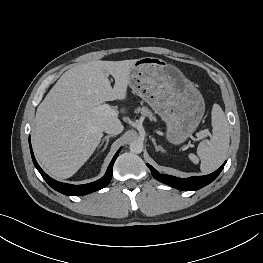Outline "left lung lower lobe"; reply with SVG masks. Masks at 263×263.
<instances>
[{"label":"left lung lower lobe","mask_w":263,"mask_h":263,"mask_svg":"<svg viewBox=\"0 0 263 263\" xmlns=\"http://www.w3.org/2000/svg\"><path fill=\"white\" fill-rule=\"evenodd\" d=\"M226 163V162H225ZM225 163L217 169L215 172L205 175V176H193L186 179L177 178L174 176L163 175L158 173L151 165L147 164L150 168L152 175L158 181L167 184L171 187L177 188L179 190L190 191V190H198L217 178L222 169L225 166Z\"/></svg>","instance_id":"left-lung-lower-lobe-1"}]
</instances>
